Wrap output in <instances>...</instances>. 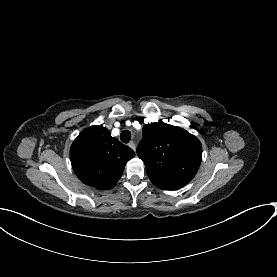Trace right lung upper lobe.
Segmentation results:
<instances>
[{
    "instance_id": "cb5924a9",
    "label": "right lung upper lobe",
    "mask_w": 277,
    "mask_h": 277,
    "mask_svg": "<svg viewBox=\"0 0 277 277\" xmlns=\"http://www.w3.org/2000/svg\"><path fill=\"white\" fill-rule=\"evenodd\" d=\"M134 151L112 137L102 126L84 129L70 149L73 170L86 185L107 190L120 179Z\"/></svg>"
}]
</instances>
